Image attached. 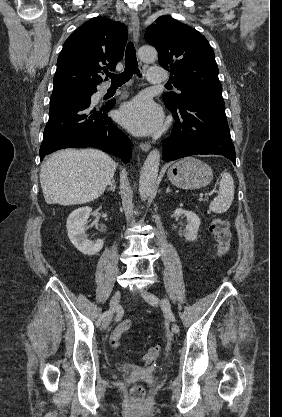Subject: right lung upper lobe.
I'll return each mask as SVG.
<instances>
[{"mask_svg": "<svg viewBox=\"0 0 282 417\" xmlns=\"http://www.w3.org/2000/svg\"><path fill=\"white\" fill-rule=\"evenodd\" d=\"M126 41L127 29L122 23L95 17L82 24L59 54L52 94L96 90L103 81L101 71L115 70L122 59Z\"/></svg>", "mask_w": 282, "mask_h": 417, "instance_id": "1", "label": "right lung upper lobe"}]
</instances>
